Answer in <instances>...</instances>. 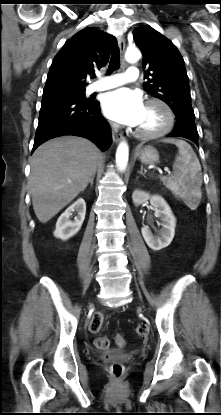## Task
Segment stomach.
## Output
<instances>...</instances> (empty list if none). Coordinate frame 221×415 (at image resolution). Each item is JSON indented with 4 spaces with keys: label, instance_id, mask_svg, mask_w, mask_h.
<instances>
[{
    "label": "stomach",
    "instance_id": "1",
    "mask_svg": "<svg viewBox=\"0 0 221 415\" xmlns=\"http://www.w3.org/2000/svg\"><path fill=\"white\" fill-rule=\"evenodd\" d=\"M135 156L144 164H156L159 162V153L152 146L138 147Z\"/></svg>",
    "mask_w": 221,
    "mask_h": 415
}]
</instances>
